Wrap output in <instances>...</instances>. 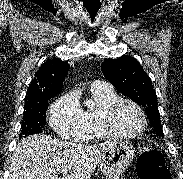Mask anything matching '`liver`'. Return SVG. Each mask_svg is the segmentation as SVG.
Instances as JSON below:
<instances>
[{
  "label": "liver",
  "instance_id": "6515ba94",
  "mask_svg": "<svg viewBox=\"0 0 183 179\" xmlns=\"http://www.w3.org/2000/svg\"><path fill=\"white\" fill-rule=\"evenodd\" d=\"M114 142L93 146L53 139L45 134L23 138L13 154L9 179H90ZM69 175L60 178L59 172Z\"/></svg>",
  "mask_w": 183,
  "mask_h": 179
}]
</instances>
